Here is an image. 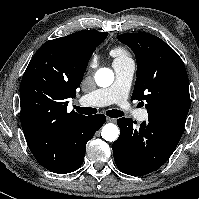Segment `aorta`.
Returning a JSON list of instances; mask_svg holds the SVG:
<instances>
[{"label": "aorta", "instance_id": "1", "mask_svg": "<svg viewBox=\"0 0 199 199\" xmlns=\"http://www.w3.org/2000/svg\"><path fill=\"white\" fill-rule=\"evenodd\" d=\"M114 81V73L109 68H100L95 74V82L100 87H108ZM102 137L106 141H115L119 136V128L117 125L108 123L103 126Z\"/></svg>", "mask_w": 199, "mask_h": 199}]
</instances>
